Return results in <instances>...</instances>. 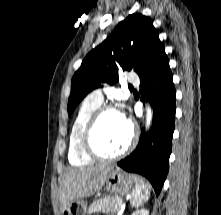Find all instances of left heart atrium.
I'll list each match as a JSON object with an SVG mask.
<instances>
[{
    "label": "left heart atrium",
    "instance_id": "39dd6f15",
    "mask_svg": "<svg viewBox=\"0 0 221 215\" xmlns=\"http://www.w3.org/2000/svg\"><path fill=\"white\" fill-rule=\"evenodd\" d=\"M119 114H120L121 118H122L126 123H128L126 114H125L124 112H119Z\"/></svg>",
    "mask_w": 221,
    "mask_h": 215
}]
</instances>
